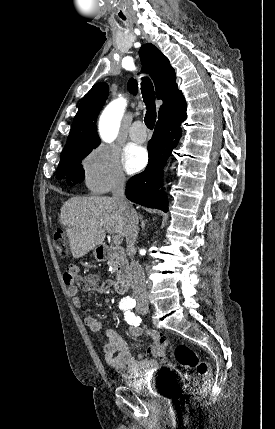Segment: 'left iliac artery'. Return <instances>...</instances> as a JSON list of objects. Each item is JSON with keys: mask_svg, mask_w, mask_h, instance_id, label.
Segmentation results:
<instances>
[{"mask_svg": "<svg viewBox=\"0 0 275 429\" xmlns=\"http://www.w3.org/2000/svg\"><path fill=\"white\" fill-rule=\"evenodd\" d=\"M124 317L125 320L127 321L128 324L132 325V326H139L140 324V319L139 317H136L133 313H131L130 311H126L124 313Z\"/></svg>", "mask_w": 275, "mask_h": 429, "instance_id": "1", "label": "left iliac artery"}]
</instances>
